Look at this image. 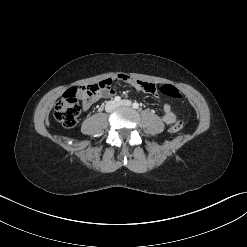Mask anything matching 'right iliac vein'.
Segmentation results:
<instances>
[{
    "mask_svg": "<svg viewBox=\"0 0 247 247\" xmlns=\"http://www.w3.org/2000/svg\"><path fill=\"white\" fill-rule=\"evenodd\" d=\"M116 106H117L116 102H114V101H109V102L107 103V105H106V110H107L108 112H111V111H113V110L116 108Z\"/></svg>",
    "mask_w": 247,
    "mask_h": 247,
    "instance_id": "right-iliac-vein-1",
    "label": "right iliac vein"
}]
</instances>
